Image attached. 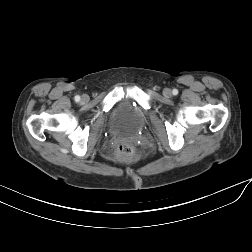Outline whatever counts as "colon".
<instances>
[{
    "mask_svg": "<svg viewBox=\"0 0 252 252\" xmlns=\"http://www.w3.org/2000/svg\"><path fill=\"white\" fill-rule=\"evenodd\" d=\"M116 155L121 160L132 161L138 157V151L134 144L123 142L117 147Z\"/></svg>",
    "mask_w": 252,
    "mask_h": 252,
    "instance_id": "obj_1",
    "label": "colon"
}]
</instances>
